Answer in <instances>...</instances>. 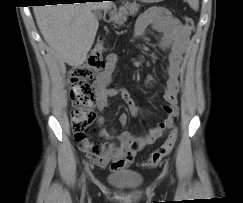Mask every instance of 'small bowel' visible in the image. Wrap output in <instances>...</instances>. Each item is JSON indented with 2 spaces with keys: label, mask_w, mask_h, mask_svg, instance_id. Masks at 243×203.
Here are the masks:
<instances>
[{
  "label": "small bowel",
  "mask_w": 243,
  "mask_h": 203,
  "mask_svg": "<svg viewBox=\"0 0 243 203\" xmlns=\"http://www.w3.org/2000/svg\"><path fill=\"white\" fill-rule=\"evenodd\" d=\"M151 25L156 31L163 34L160 47L169 52L166 67L167 81L163 95L166 101V105L163 107L166 118L141 136H135L124 130L115 137L111 132L101 131L99 137L103 141L90 142L87 140L84 144H78L79 149L95 164L100 167L109 165L112 171L123 169L133 163L139 151L152 144L178 119L179 75L189 48V31L167 9L155 6L146 10L138 18L134 28V39H141L145 35L146 29ZM117 61L116 54H109L106 58L105 68L97 75L94 82L98 94L97 108L99 111L106 110L110 106V99L120 96L132 115L142 116L144 109L136 105L126 89L109 87ZM146 80L151 83L154 81V77L148 75ZM119 122L125 126L128 122V116L125 113L120 114ZM115 138L118 139L119 145L114 142Z\"/></svg>",
  "instance_id": "obj_1"
}]
</instances>
